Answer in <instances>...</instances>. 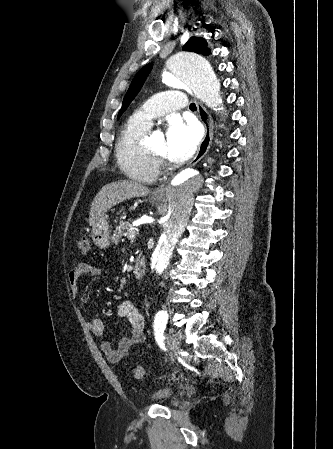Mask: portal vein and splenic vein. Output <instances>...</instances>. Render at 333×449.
Instances as JSON below:
<instances>
[{"label": "portal vein and splenic vein", "instance_id": "18ae733b", "mask_svg": "<svg viewBox=\"0 0 333 449\" xmlns=\"http://www.w3.org/2000/svg\"><path fill=\"white\" fill-rule=\"evenodd\" d=\"M128 237H129L130 239H134V238L136 237V232L133 231V230L129 231Z\"/></svg>", "mask_w": 333, "mask_h": 449}]
</instances>
